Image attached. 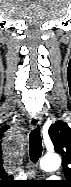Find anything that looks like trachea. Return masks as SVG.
<instances>
[{"instance_id": "3493384b", "label": "trachea", "mask_w": 71, "mask_h": 187, "mask_svg": "<svg viewBox=\"0 0 71 187\" xmlns=\"http://www.w3.org/2000/svg\"><path fill=\"white\" fill-rule=\"evenodd\" d=\"M42 154V140L40 137V129L36 127L30 133L29 137V155L31 161L36 163Z\"/></svg>"}]
</instances>
